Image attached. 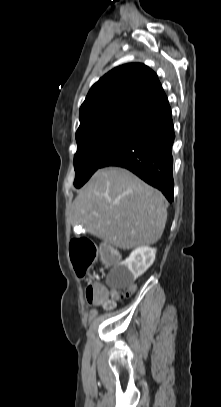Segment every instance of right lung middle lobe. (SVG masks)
<instances>
[{
    "label": "right lung middle lobe",
    "mask_w": 221,
    "mask_h": 407,
    "mask_svg": "<svg viewBox=\"0 0 221 407\" xmlns=\"http://www.w3.org/2000/svg\"><path fill=\"white\" fill-rule=\"evenodd\" d=\"M138 127L137 124H117L100 128L77 139L74 156L76 178L74 186L80 188L92 174Z\"/></svg>",
    "instance_id": "dd1d6c3e"
}]
</instances>
